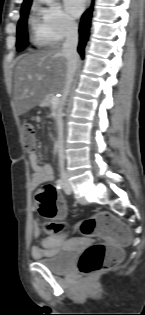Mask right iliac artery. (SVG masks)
<instances>
[{"instance_id":"82829eb1","label":"right iliac artery","mask_w":145,"mask_h":315,"mask_svg":"<svg viewBox=\"0 0 145 315\" xmlns=\"http://www.w3.org/2000/svg\"><path fill=\"white\" fill-rule=\"evenodd\" d=\"M56 187H57L58 189H62V188L64 187V182H63L62 179H58V180L56 181Z\"/></svg>"}]
</instances>
